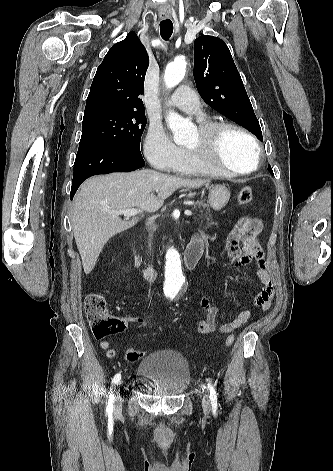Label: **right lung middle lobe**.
Listing matches in <instances>:
<instances>
[{
	"instance_id": "obj_1",
	"label": "right lung middle lobe",
	"mask_w": 333,
	"mask_h": 471,
	"mask_svg": "<svg viewBox=\"0 0 333 471\" xmlns=\"http://www.w3.org/2000/svg\"><path fill=\"white\" fill-rule=\"evenodd\" d=\"M145 125L144 111H110L85 117L79 147L107 145L141 155Z\"/></svg>"
}]
</instances>
